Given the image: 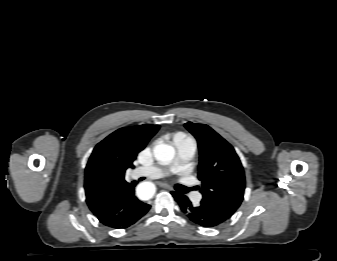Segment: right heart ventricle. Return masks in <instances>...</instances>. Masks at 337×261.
Wrapping results in <instances>:
<instances>
[{
	"label": "right heart ventricle",
	"instance_id": "obj_1",
	"mask_svg": "<svg viewBox=\"0 0 337 261\" xmlns=\"http://www.w3.org/2000/svg\"><path fill=\"white\" fill-rule=\"evenodd\" d=\"M173 141H174L175 145H177L179 143H183V142H186V141H192V139L190 137H188L186 134L178 132V133H175L173 135Z\"/></svg>",
	"mask_w": 337,
	"mask_h": 261
}]
</instances>
